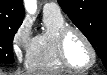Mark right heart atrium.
Returning <instances> with one entry per match:
<instances>
[{"label": "right heart atrium", "instance_id": "1", "mask_svg": "<svg viewBox=\"0 0 107 75\" xmlns=\"http://www.w3.org/2000/svg\"><path fill=\"white\" fill-rule=\"evenodd\" d=\"M32 40L31 23L24 19L14 31L11 41L13 53L19 62L27 58Z\"/></svg>", "mask_w": 107, "mask_h": 75}]
</instances>
